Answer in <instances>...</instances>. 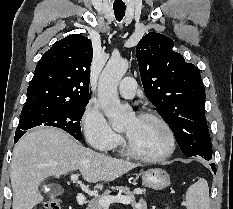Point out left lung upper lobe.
I'll use <instances>...</instances> for the list:
<instances>
[{"label": "left lung upper lobe", "mask_w": 233, "mask_h": 209, "mask_svg": "<svg viewBox=\"0 0 233 209\" xmlns=\"http://www.w3.org/2000/svg\"><path fill=\"white\" fill-rule=\"evenodd\" d=\"M171 38L150 32L136 47L147 98L170 126L185 156L212 157L199 69L173 51Z\"/></svg>", "instance_id": "obj_1"}]
</instances>
